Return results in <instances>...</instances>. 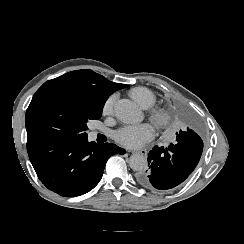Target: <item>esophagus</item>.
Returning <instances> with one entry per match:
<instances>
[{
    "label": "esophagus",
    "instance_id": "esophagus-1",
    "mask_svg": "<svg viewBox=\"0 0 244 244\" xmlns=\"http://www.w3.org/2000/svg\"><path fill=\"white\" fill-rule=\"evenodd\" d=\"M129 152L133 153V154H140L142 156H144L145 158L148 155V151L146 149H139V150H129Z\"/></svg>",
    "mask_w": 244,
    "mask_h": 244
}]
</instances>
